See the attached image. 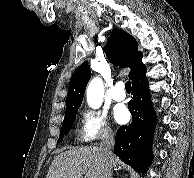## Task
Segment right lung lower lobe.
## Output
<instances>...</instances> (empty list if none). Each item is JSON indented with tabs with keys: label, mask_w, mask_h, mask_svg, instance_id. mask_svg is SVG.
<instances>
[{
	"label": "right lung lower lobe",
	"mask_w": 194,
	"mask_h": 178,
	"mask_svg": "<svg viewBox=\"0 0 194 178\" xmlns=\"http://www.w3.org/2000/svg\"><path fill=\"white\" fill-rule=\"evenodd\" d=\"M132 95L128 108L133 121L118 129L114 152L132 168L146 172L152 160L151 145L156 126V115L146 77L132 84Z\"/></svg>",
	"instance_id": "1"
}]
</instances>
